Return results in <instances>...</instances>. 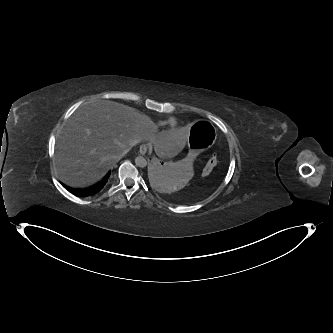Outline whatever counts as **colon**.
Returning <instances> with one entry per match:
<instances>
[{"label": "colon", "mask_w": 333, "mask_h": 333, "mask_svg": "<svg viewBox=\"0 0 333 333\" xmlns=\"http://www.w3.org/2000/svg\"><path fill=\"white\" fill-rule=\"evenodd\" d=\"M217 164V156L213 154L203 169V175L209 174Z\"/></svg>", "instance_id": "5ec220e1"}]
</instances>
